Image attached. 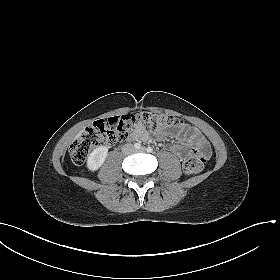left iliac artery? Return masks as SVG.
Wrapping results in <instances>:
<instances>
[{"instance_id":"44dca946","label":"left iliac artery","mask_w":280,"mask_h":280,"mask_svg":"<svg viewBox=\"0 0 280 280\" xmlns=\"http://www.w3.org/2000/svg\"><path fill=\"white\" fill-rule=\"evenodd\" d=\"M146 150H147V152L151 153L153 151V148L152 147H148Z\"/></svg>"}]
</instances>
